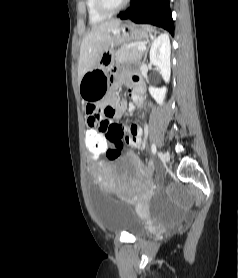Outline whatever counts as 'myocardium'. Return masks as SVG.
Here are the masks:
<instances>
[{"label":"myocardium","instance_id":"f54148a6","mask_svg":"<svg viewBox=\"0 0 238 278\" xmlns=\"http://www.w3.org/2000/svg\"><path fill=\"white\" fill-rule=\"evenodd\" d=\"M128 2L129 0H123L119 5L111 6L107 0H95V6L99 13L105 16H111L121 11Z\"/></svg>","mask_w":238,"mask_h":278}]
</instances>
